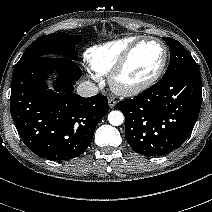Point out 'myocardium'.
I'll use <instances>...</instances> for the list:
<instances>
[{
  "label": "myocardium",
  "mask_w": 212,
  "mask_h": 212,
  "mask_svg": "<svg viewBox=\"0 0 212 212\" xmlns=\"http://www.w3.org/2000/svg\"><path fill=\"white\" fill-rule=\"evenodd\" d=\"M147 42H156L163 49V59L161 61L159 68L155 71V73H153L150 77H148L144 81L131 85L124 84L121 81V77L132 55L134 54V52L137 50L138 47ZM168 57H169L168 48L162 40L154 37H145L136 40L126 49V51L123 53V55L121 56V58L119 59V61L109 74V84L112 90L121 96H135L142 93L143 91L147 90L152 85H154L162 76L168 62Z\"/></svg>",
  "instance_id": "myocardium-1"
}]
</instances>
